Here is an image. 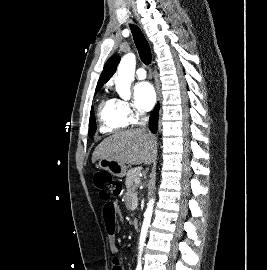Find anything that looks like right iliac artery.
I'll use <instances>...</instances> for the list:
<instances>
[{
	"label": "right iliac artery",
	"instance_id": "1",
	"mask_svg": "<svg viewBox=\"0 0 267 270\" xmlns=\"http://www.w3.org/2000/svg\"><path fill=\"white\" fill-rule=\"evenodd\" d=\"M136 270H142V269H141V267H140V266H138V267L136 268Z\"/></svg>",
	"mask_w": 267,
	"mask_h": 270
}]
</instances>
